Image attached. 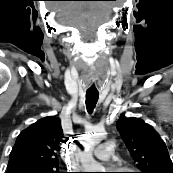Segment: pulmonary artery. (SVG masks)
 Segmentation results:
<instances>
[{
  "label": "pulmonary artery",
  "instance_id": "pulmonary-artery-1",
  "mask_svg": "<svg viewBox=\"0 0 173 173\" xmlns=\"http://www.w3.org/2000/svg\"><path fill=\"white\" fill-rule=\"evenodd\" d=\"M113 154V144L104 142L94 150V157L99 161H109Z\"/></svg>",
  "mask_w": 173,
  "mask_h": 173
}]
</instances>
